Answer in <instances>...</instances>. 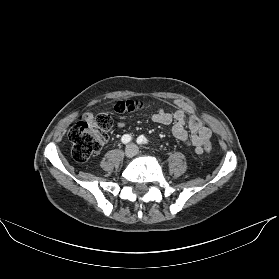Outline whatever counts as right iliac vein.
<instances>
[{"instance_id":"obj_1","label":"right iliac vein","mask_w":279,"mask_h":279,"mask_svg":"<svg viewBox=\"0 0 279 279\" xmlns=\"http://www.w3.org/2000/svg\"><path fill=\"white\" fill-rule=\"evenodd\" d=\"M125 156L127 158H131L132 156H134L135 154V146L130 144L125 148V152H124Z\"/></svg>"}]
</instances>
